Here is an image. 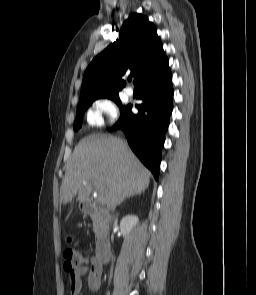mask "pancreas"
I'll return each mask as SVG.
<instances>
[{"label": "pancreas", "mask_w": 256, "mask_h": 295, "mask_svg": "<svg viewBox=\"0 0 256 295\" xmlns=\"http://www.w3.org/2000/svg\"><path fill=\"white\" fill-rule=\"evenodd\" d=\"M93 226L95 233H97L101 229V223L97 219L94 220Z\"/></svg>", "instance_id": "1"}]
</instances>
